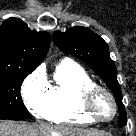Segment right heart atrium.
Segmentation results:
<instances>
[{"label": "right heart atrium", "instance_id": "1", "mask_svg": "<svg viewBox=\"0 0 136 136\" xmlns=\"http://www.w3.org/2000/svg\"><path fill=\"white\" fill-rule=\"evenodd\" d=\"M25 106L35 117H43L49 105V84L41 71L29 75L21 87Z\"/></svg>", "mask_w": 136, "mask_h": 136}]
</instances>
